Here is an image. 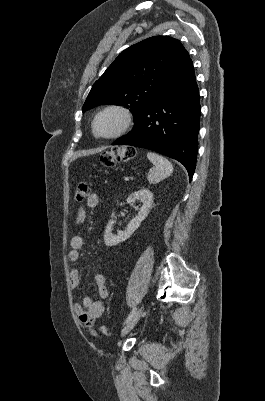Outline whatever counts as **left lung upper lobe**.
Masks as SVG:
<instances>
[{
  "instance_id": "left-lung-upper-lobe-1",
  "label": "left lung upper lobe",
  "mask_w": 265,
  "mask_h": 401,
  "mask_svg": "<svg viewBox=\"0 0 265 401\" xmlns=\"http://www.w3.org/2000/svg\"><path fill=\"white\" fill-rule=\"evenodd\" d=\"M190 61L180 41L168 36L132 45L94 83L82 111L101 104L123 105L130 107L136 121Z\"/></svg>"
}]
</instances>
